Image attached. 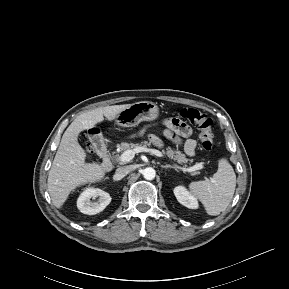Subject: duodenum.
<instances>
[{
	"label": "duodenum",
	"instance_id": "410a0bca",
	"mask_svg": "<svg viewBox=\"0 0 289 289\" xmlns=\"http://www.w3.org/2000/svg\"><path fill=\"white\" fill-rule=\"evenodd\" d=\"M98 153L101 157L100 168L103 171H109L112 168L110 153L104 145L98 146Z\"/></svg>",
	"mask_w": 289,
	"mask_h": 289
}]
</instances>
